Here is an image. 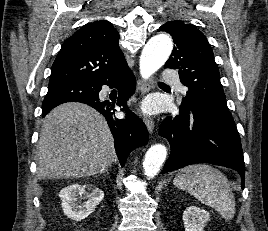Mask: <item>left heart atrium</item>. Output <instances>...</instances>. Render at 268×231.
<instances>
[{
	"mask_svg": "<svg viewBox=\"0 0 268 231\" xmlns=\"http://www.w3.org/2000/svg\"><path fill=\"white\" fill-rule=\"evenodd\" d=\"M152 109H153V106H152L151 103H147V104L144 105V110H145L146 112H151Z\"/></svg>",
	"mask_w": 268,
	"mask_h": 231,
	"instance_id": "39dd6f15",
	"label": "left heart atrium"
}]
</instances>
